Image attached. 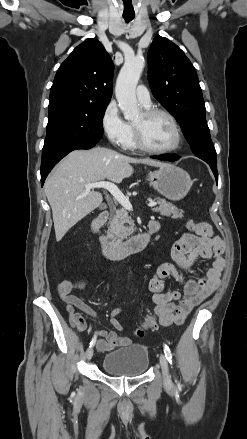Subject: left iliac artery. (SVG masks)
<instances>
[{
	"instance_id": "1",
	"label": "left iliac artery",
	"mask_w": 247,
	"mask_h": 439,
	"mask_svg": "<svg viewBox=\"0 0 247 439\" xmlns=\"http://www.w3.org/2000/svg\"><path fill=\"white\" fill-rule=\"evenodd\" d=\"M163 347L166 359L169 361L170 364H172V354L169 347L166 344H164Z\"/></svg>"
}]
</instances>
